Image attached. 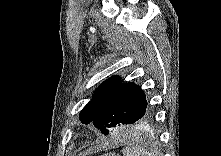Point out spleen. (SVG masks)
<instances>
[{
	"instance_id": "3e777b00",
	"label": "spleen",
	"mask_w": 221,
	"mask_h": 156,
	"mask_svg": "<svg viewBox=\"0 0 221 156\" xmlns=\"http://www.w3.org/2000/svg\"><path fill=\"white\" fill-rule=\"evenodd\" d=\"M124 156H152V153L142 147L125 148L123 149Z\"/></svg>"
}]
</instances>
